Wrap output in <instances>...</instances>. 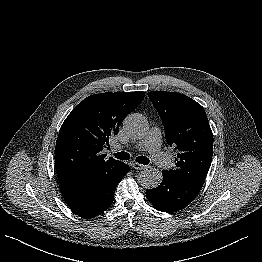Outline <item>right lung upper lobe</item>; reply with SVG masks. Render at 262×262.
Listing matches in <instances>:
<instances>
[{
	"label": "right lung upper lobe",
	"instance_id": "right-lung-upper-lobe-1",
	"mask_svg": "<svg viewBox=\"0 0 262 262\" xmlns=\"http://www.w3.org/2000/svg\"><path fill=\"white\" fill-rule=\"evenodd\" d=\"M144 96L140 91L93 94L71 111L60 128L55 147L60 183H76L121 167L123 162L111 157L106 160L102 150Z\"/></svg>",
	"mask_w": 262,
	"mask_h": 262
}]
</instances>
